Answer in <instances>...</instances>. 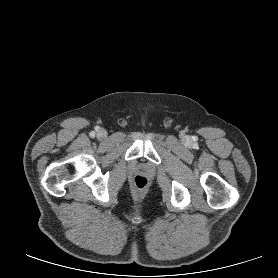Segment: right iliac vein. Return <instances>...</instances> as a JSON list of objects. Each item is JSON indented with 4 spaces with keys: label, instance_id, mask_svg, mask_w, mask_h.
<instances>
[{
    "label": "right iliac vein",
    "instance_id": "1",
    "mask_svg": "<svg viewBox=\"0 0 278 278\" xmlns=\"http://www.w3.org/2000/svg\"><path fill=\"white\" fill-rule=\"evenodd\" d=\"M107 136V132L105 131V130H100L99 132H98V137L99 138H105Z\"/></svg>",
    "mask_w": 278,
    "mask_h": 278
}]
</instances>
